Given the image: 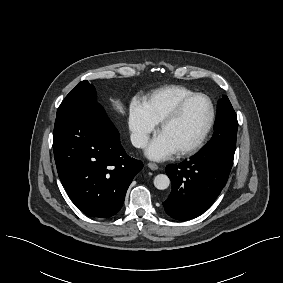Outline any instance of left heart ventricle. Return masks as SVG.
Listing matches in <instances>:
<instances>
[{"instance_id":"1","label":"left heart ventricle","mask_w":283,"mask_h":283,"mask_svg":"<svg viewBox=\"0 0 283 283\" xmlns=\"http://www.w3.org/2000/svg\"><path fill=\"white\" fill-rule=\"evenodd\" d=\"M210 118V104L205 98L192 101L181 116L160 135L177 151L193 145L204 132Z\"/></svg>"}]
</instances>
